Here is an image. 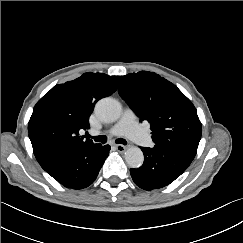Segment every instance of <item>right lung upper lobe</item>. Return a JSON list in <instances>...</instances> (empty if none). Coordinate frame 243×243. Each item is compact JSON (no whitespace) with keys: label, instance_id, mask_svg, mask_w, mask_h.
I'll return each mask as SVG.
<instances>
[{"label":"right lung upper lobe","instance_id":"cb5924a9","mask_svg":"<svg viewBox=\"0 0 243 243\" xmlns=\"http://www.w3.org/2000/svg\"><path fill=\"white\" fill-rule=\"evenodd\" d=\"M118 82L119 76L88 72L47 92L35 105L28 124L35 157L52 150L94 145L79 133L89 129L96 102L114 93Z\"/></svg>","mask_w":243,"mask_h":243}]
</instances>
